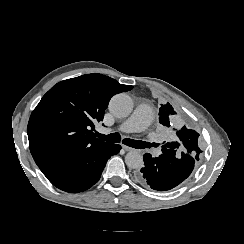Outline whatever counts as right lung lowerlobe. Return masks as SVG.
<instances>
[{
	"label": "right lung lower lobe",
	"mask_w": 244,
	"mask_h": 244,
	"mask_svg": "<svg viewBox=\"0 0 244 244\" xmlns=\"http://www.w3.org/2000/svg\"><path fill=\"white\" fill-rule=\"evenodd\" d=\"M120 149V145L111 143L88 147L39 168L57 188L71 193L82 192L99 180L107 160Z\"/></svg>",
	"instance_id": "obj_1"
}]
</instances>
